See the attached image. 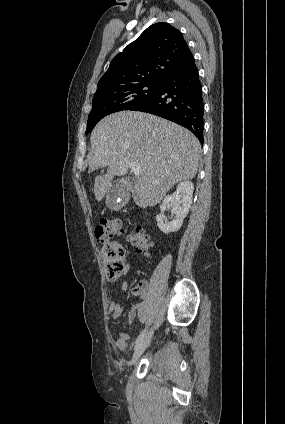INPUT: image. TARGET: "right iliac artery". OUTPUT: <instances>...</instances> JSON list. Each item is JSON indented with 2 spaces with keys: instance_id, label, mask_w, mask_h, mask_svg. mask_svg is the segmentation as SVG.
I'll return each instance as SVG.
<instances>
[{
  "instance_id": "obj_1",
  "label": "right iliac artery",
  "mask_w": 285,
  "mask_h": 424,
  "mask_svg": "<svg viewBox=\"0 0 285 424\" xmlns=\"http://www.w3.org/2000/svg\"><path fill=\"white\" fill-rule=\"evenodd\" d=\"M146 334V328L140 333V335L137 337L136 341H135V346H137L144 338Z\"/></svg>"
}]
</instances>
